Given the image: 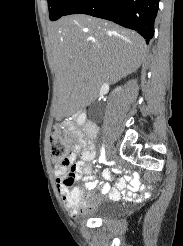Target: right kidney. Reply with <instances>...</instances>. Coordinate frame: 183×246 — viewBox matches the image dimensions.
<instances>
[{
    "label": "right kidney",
    "instance_id": "ca27d5eb",
    "mask_svg": "<svg viewBox=\"0 0 183 246\" xmlns=\"http://www.w3.org/2000/svg\"><path fill=\"white\" fill-rule=\"evenodd\" d=\"M120 88H117L115 91H119ZM86 115L82 114L78 119V124H82L85 121Z\"/></svg>",
    "mask_w": 183,
    "mask_h": 246
}]
</instances>
